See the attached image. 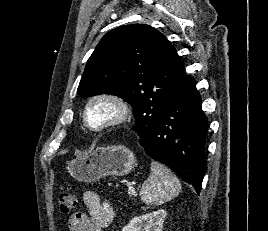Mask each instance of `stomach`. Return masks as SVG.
I'll return each instance as SVG.
<instances>
[{
    "instance_id": "obj_1",
    "label": "stomach",
    "mask_w": 268,
    "mask_h": 231,
    "mask_svg": "<svg viewBox=\"0 0 268 231\" xmlns=\"http://www.w3.org/2000/svg\"><path fill=\"white\" fill-rule=\"evenodd\" d=\"M133 152L125 146L98 147L67 162L69 174L81 182H94L106 176H124L135 167Z\"/></svg>"
}]
</instances>
